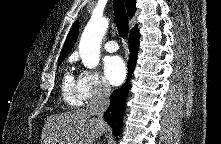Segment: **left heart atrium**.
<instances>
[{
  "label": "left heart atrium",
  "mask_w": 221,
  "mask_h": 144,
  "mask_svg": "<svg viewBox=\"0 0 221 144\" xmlns=\"http://www.w3.org/2000/svg\"><path fill=\"white\" fill-rule=\"evenodd\" d=\"M104 73L112 85L121 84L126 75V67L123 59L119 56L107 57L104 61Z\"/></svg>",
  "instance_id": "obj_1"
}]
</instances>
